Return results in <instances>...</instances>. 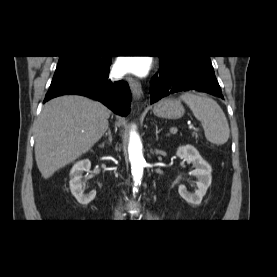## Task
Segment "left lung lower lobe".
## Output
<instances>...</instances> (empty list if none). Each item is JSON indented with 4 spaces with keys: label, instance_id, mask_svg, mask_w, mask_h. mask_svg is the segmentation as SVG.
Here are the masks:
<instances>
[{
    "label": "left lung lower lobe",
    "instance_id": "left-lung-lower-lobe-1",
    "mask_svg": "<svg viewBox=\"0 0 277 277\" xmlns=\"http://www.w3.org/2000/svg\"><path fill=\"white\" fill-rule=\"evenodd\" d=\"M199 91L221 97L223 95L216 80L211 63L160 62L159 72L151 80V104L179 91Z\"/></svg>",
    "mask_w": 277,
    "mask_h": 277
}]
</instances>
